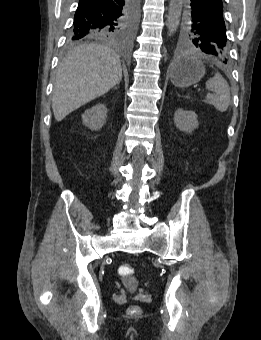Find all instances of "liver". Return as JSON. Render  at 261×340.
Wrapping results in <instances>:
<instances>
[{"label": "liver", "instance_id": "6515ba94", "mask_svg": "<svg viewBox=\"0 0 261 340\" xmlns=\"http://www.w3.org/2000/svg\"><path fill=\"white\" fill-rule=\"evenodd\" d=\"M122 67L117 53L101 44H83L70 51L59 65L53 89L56 121L107 93L120 82Z\"/></svg>", "mask_w": 261, "mask_h": 340}]
</instances>
